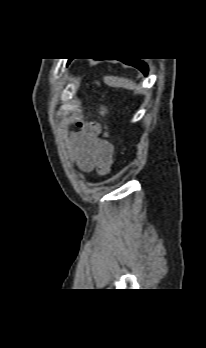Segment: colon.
Listing matches in <instances>:
<instances>
[{"label":"colon","mask_w":206,"mask_h":348,"mask_svg":"<svg viewBox=\"0 0 206 348\" xmlns=\"http://www.w3.org/2000/svg\"><path fill=\"white\" fill-rule=\"evenodd\" d=\"M79 126L85 127V125L82 122L79 123ZM85 128L91 134H96V133L101 132V131L105 132V128H101L97 125H90V126H86Z\"/></svg>","instance_id":"5ec220e1"}]
</instances>
